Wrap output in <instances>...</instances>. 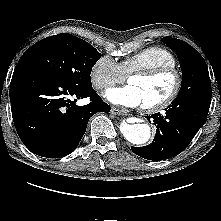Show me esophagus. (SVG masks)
<instances>
[{"label": "esophagus", "mask_w": 221, "mask_h": 221, "mask_svg": "<svg viewBox=\"0 0 221 221\" xmlns=\"http://www.w3.org/2000/svg\"><path fill=\"white\" fill-rule=\"evenodd\" d=\"M110 112H111V114H114V115H124V113H125V111L123 109H118L115 107H112Z\"/></svg>", "instance_id": "obj_1"}]
</instances>
